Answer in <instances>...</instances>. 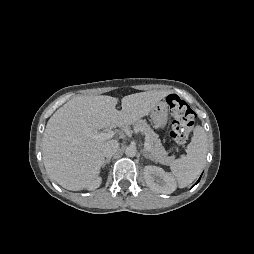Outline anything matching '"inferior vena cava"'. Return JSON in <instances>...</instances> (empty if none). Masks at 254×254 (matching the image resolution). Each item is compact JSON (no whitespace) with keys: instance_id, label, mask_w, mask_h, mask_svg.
Returning a JSON list of instances; mask_svg holds the SVG:
<instances>
[{"instance_id":"obj_1","label":"inferior vena cava","mask_w":254,"mask_h":254,"mask_svg":"<svg viewBox=\"0 0 254 254\" xmlns=\"http://www.w3.org/2000/svg\"><path fill=\"white\" fill-rule=\"evenodd\" d=\"M119 149V143L116 140H110L106 143L103 154L108 159L111 158Z\"/></svg>"}]
</instances>
